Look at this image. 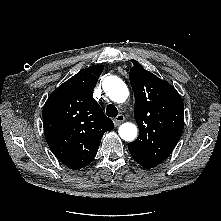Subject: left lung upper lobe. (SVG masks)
Wrapping results in <instances>:
<instances>
[{"label": "left lung upper lobe", "instance_id": "obj_1", "mask_svg": "<svg viewBox=\"0 0 221 221\" xmlns=\"http://www.w3.org/2000/svg\"><path fill=\"white\" fill-rule=\"evenodd\" d=\"M132 63L129 79L139 136L128 149L138 164L152 168L163 162L178 143L184 128V105L174 87L137 61Z\"/></svg>", "mask_w": 221, "mask_h": 221}]
</instances>
